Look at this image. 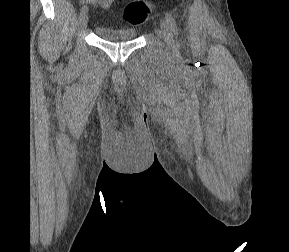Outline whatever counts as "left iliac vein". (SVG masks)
Returning <instances> with one entry per match:
<instances>
[{
	"mask_svg": "<svg viewBox=\"0 0 289 252\" xmlns=\"http://www.w3.org/2000/svg\"><path fill=\"white\" fill-rule=\"evenodd\" d=\"M161 35L170 49H173L175 46V41L173 38L172 30L167 22V20H161Z\"/></svg>",
	"mask_w": 289,
	"mask_h": 252,
	"instance_id": "1",
	"label": "left iliac vein"
}]
</instances>
